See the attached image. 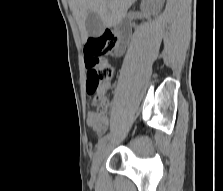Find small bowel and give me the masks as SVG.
<instances>
[{
    "label": "small bowel",
    "instance_id": "c3829d8e",
    "mask_svg": "<svg viewBox=\"0 0 223 191\" xmlns=\"http://www.w3.org/2000/svg\"><path fill=\"white\" fill-rule=\"evenodd\" d=\"M119 52H121L119 50ZM111 87L110 82H106L104 86L101 88V94H104L107 92ZM96 104V101H93V105ZM110 120L105 115H99L95 112H90L88 115V124L90 128L93 130V132L99 136L103 135L109 126Z\"/></svg>",
    "mask_w": 223,
    "mask_h": 191
}]
</instances>
